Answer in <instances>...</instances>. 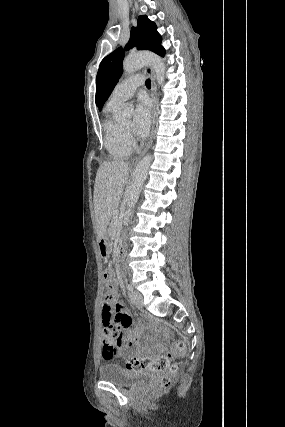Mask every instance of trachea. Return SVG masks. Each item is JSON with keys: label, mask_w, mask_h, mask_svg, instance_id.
Listing matches in <instances>:
<instances>
[{"label": "trachea", "mask_w": 285, "mask_h": 427, "mask_svg": "<svg viewBox=\"0 0 285 427\" xmlns=\"http://www.w3.org/2000/svg\"><path fill=\"white\" fill-rule=\"evenodd\" d=\"M145 85H146L147 88H151V80L147 79L146 82H145Z\"/></svg>", "instance_id": "3493384b"}]
</instances>
